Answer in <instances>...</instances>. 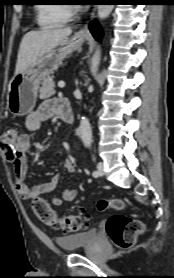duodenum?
<instances>
[{"label": "duodenum", "instance_id": "obj_1", "mask_svg": "<svg viewBox=\"0 0 174 278\" xmlns=\"http://www.w3.org/2000/svg\"><path fill=\"white\" fill-rule=\"evenodd\" d=\"M57 112L59 117L67 122V123H73L74 122V116L71 109L70 102L67 99H60L58 101V107Z\"/></svg>", "mask_w": 174, "mask_h": 278}]
</instances>
